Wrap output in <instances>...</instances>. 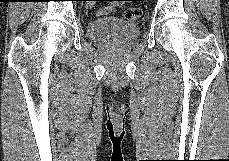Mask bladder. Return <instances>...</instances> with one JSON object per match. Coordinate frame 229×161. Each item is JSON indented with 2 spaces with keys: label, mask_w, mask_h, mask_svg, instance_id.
Returning <instances> with one entry per match:
<instances>
[{
  "label": "bladder",
  "mask_w": 229,
  "mask_h": 161,
  "mask_svg": "<svg viewBox=\"0 0 229 161\" xmlns=\"http://www.w3.org/2000/svg\"><path fill=\"white\" fill-rule=\"evenodd\" d=\"M87 32L90 38L101 43H130L140 34L136 24L113 16L101 17L89 22Z\"/></svg>",
  "instance_id": "obj_1"
}]
</instances>
